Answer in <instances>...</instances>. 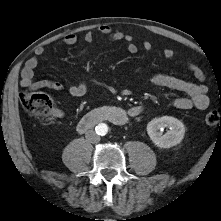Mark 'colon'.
Wrapping results in <instances>:
<instances>
[{
    "instance_id": "1",
    "label": "colon",
    "mask_w": 221,
    "mask_h": 221,
    "mask_svg": "<svg viewBox=\"0 0 221 221\" xmlns=\"http://www.w3.org/2000/svg\"><path fill=\"white\" fill-rule=\"evenodd\" d=\"M23 109L31 116L50 121L54 118V105L50 97L41 93L23 92L20 96ZM208 125L221 123V115L217 111H209L205 115Z\"/></svg>"
}]
</instances>
